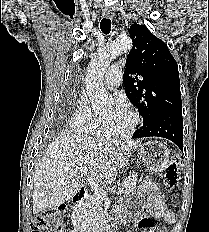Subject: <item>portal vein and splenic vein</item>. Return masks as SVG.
<instances>
[{
    "instance_id": "1",
    "label": "portal vein and splenic vein",
    "mask_w": 209,
    "mask_h": 232,
    "mask_svg": "<svg viewBox=\"0 0 209 232\" xmlns=\"http://www.w3.org/2000/svg\"><path fill=\"white\" fill-rule=\"evenodd\" d=\"M76 171H79L82 176L87 177L88 185L90 186L91 190L94 191L98 199H100L101 201L106 199V191L95 182L93 176L89 174L88 167L76 168ZM123 192L124 188L121 187L119 188L117 194L121 195Z\"/></svg>"
}]
</instances>
